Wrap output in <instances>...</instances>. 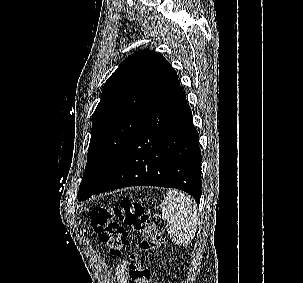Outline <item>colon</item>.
<instances>
[{"mask_svg":"<svg viewBox=\"0 0 303 283\" xmlns=\"http://www.w3.org/2000/svg\"><path fill=\"white\" fill-rule=\"evenodd\" d=\"M90 219L112 258L120 257L128 244L126 228L142 236L137 251L130 254L129 283H151V272L143 265L139 252H154L163 242L142 204L122 199L117 205H97L91 211Z\"/></svg>","mask_w":303,"mask_h":283,"instance_id":"1","label":"colon"}]
</instances>
